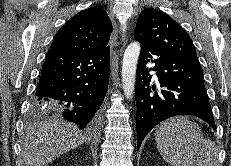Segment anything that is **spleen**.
<instances>
[{
    "label": "spleen",
    "instance_id": "3e777b00",
    "mask_svg": "<svg viewBox=\"0 0 231 166\" xmlns=\"http://www.w3.org/2000/svg\"><path fill=\"white\" fill-rule=\"evenodd\" d=\"M155 141L162 158L172 166H221L215 143L205 139L199 125L188 117L163 121Z\"/></svg>",
    "mask_w": 231,
    "mask_h": 166
}]
</instances>
